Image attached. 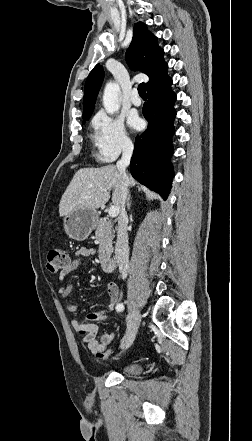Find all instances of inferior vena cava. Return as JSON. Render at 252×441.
<instances>
[{
    "instance_id": "1",
    "label": "inferior vena cava",
    "mask_w": 252,
    "mask_h": 441,
    "mask_svg": "<svg viewBox=\"0 0 252 441\" xmlns=\"http://www.w3.org/2000/svg\"><path fill=\"white\" fill-rule=\"evenodd\" d=\"M132 154H133V146L126 145L123 148L121 159L117 162V168L120 174L122 175V185H121L122 193H121L120 214L118 217L115 255L123 279L127 277L129 270V247H128V234H127L128 216L125 210V203L128 197V186H129V178L126 173V168L130 163Z\"/></svg>"
}]
</instances>
